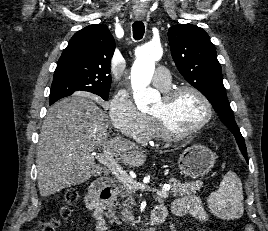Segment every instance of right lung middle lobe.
<instances>
[{
    "label": "right lung middle lobe",
    "instance_id": "right-lung-middle-lobe-1",
    "mask_svg": "<svg viewBox=\"0 0 268 231\" xmlns=\"http://www.w3.org/2000/svg\"><path fill=\"white\" fill-rule=\"evenodd\" d=\"M66 94V90L63 88H51V93H50V99L52 97H57ZM96 95H99L102 99L107 100L109 96V92L105 93H98Z\"/></svg>",
    "mask_w": 268,
    "mask_h": 231
}]
</instances>
